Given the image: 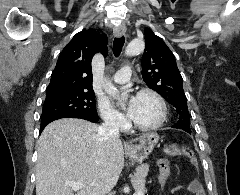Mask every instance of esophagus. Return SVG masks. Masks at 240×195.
Masks as SVG:
<instances>
[{
    "label": "esophagus",
    "mask_w": 240,
    "mask_h": 195,
    "mask_svg": "<svg viewBox=\"0 0 240 195\" xmlns=\"http://www.w3.org/2000/svg\"><path fill=\"white\" fill-rule=\"evenodd\" d=\"M126 32V26L125 25H120L118 27H115L113 30V33L116 37H121L124 35Z\"/></svg>",
    "instance_id": "esophagus-1"
}]
</instances>
